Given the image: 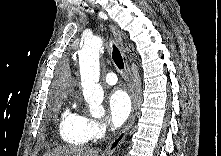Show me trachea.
Instances as JSON below:
<instances>
[{"label": "trachea", "mask_w": 221, "mask_h": 156, "mask_svg": "<svg viewBox=\"0 0 221 156\" xmlns=\"http://www.w3.org/2000/svg\"><path fill=\"white\" fill-rule=\"evenodd\" d=\"M112 59L119 69L124 68L123 58L121 56L120 51L118 50V48L115 45H113Z\"/></svg>", "instance_id": "1"}]
</instances>
